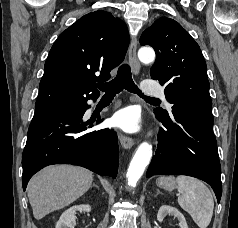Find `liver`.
I'll list each match as a JSON object with an SVG mask.
<instances>
[{
  "label": "liver",
  "instance_id": "liver-1",
  "mask_svg": "<svg viewBox=\"0 0 238 228\" xmlns=\"http://www.w3.org/2000/svg\"><path fill=\"white\" fill-rule=\"evenodd\" d=\"M93 173L70 166H48L31 178L27 194L34 218L42 219L50 212L62 209L88 191Z\"/></svg>",
  "mask_w": 238,
  "mask_h": 228
}]
</instances>
